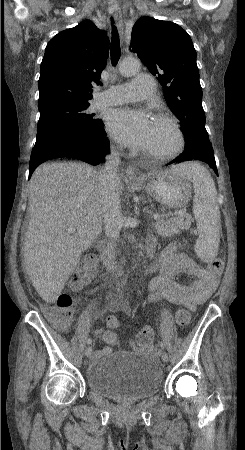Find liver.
<instances>
[{
	"label": "liver",
	"mask_w": 245,
	"mask_h": 450,
	"mask_svg": "<svg viewBox=\"0 0 245 450\" xmlns=\"http://www.w3.org/2000/svg\"><path fill=\"white\" fill-rule=\"evenodd\" d=\"M123 189L119 181V194ZM24 263L32 284L53 303L103 225L99 174L77 162L40 165L30 180ZM74 228L75 233L68 229Z\"/></svg>",
	"instance_id": "liver-1"
}]
</instances>
